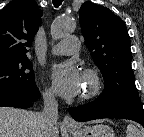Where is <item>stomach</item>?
I'll use <instances>...</instances> for the list:
<instances>
[{
	"instance_id": "0dacf381",
	"label": "stomach",
	"mask_w": 144,
	"mask_h": 137,
	"mask_svg": "<svg viewBox=\"0 0 144 137\" xmlns=\"http://www.w3.org/2000/svg\"><path fill=\"white\" fill-rule=\"evenodd\" d=\"M73 137H115L113 129L108 125L96 124L71 130Z\"/></svg>"
}]
</instances>
